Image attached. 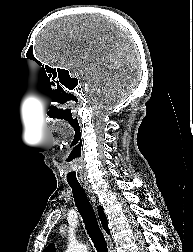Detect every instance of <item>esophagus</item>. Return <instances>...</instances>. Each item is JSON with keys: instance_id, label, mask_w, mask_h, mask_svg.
Returning <instances> with one entry per match:
<instances>
[{"instance_id": "esophagus-1", "label": "esophagus", "mask_w": 193, "mask_h": 252, "mask_svg": "<svg viewBox=\"0 0 193 252\" xmlns=\"http://www.w3.org/2000/svg\"><path fill=\"white\" fill-rule=\"evenodd\" d=\"M85 190L88 194V197L90 198L91 202L93 203V205L96 207V199H95V196L91 190V187L89 185H85ZM105 239H106V242H107V245H108V249H109V252H111V249H112V240L110 238V236L108 234L105 233Z\"/></svg>"}]
</instances>
